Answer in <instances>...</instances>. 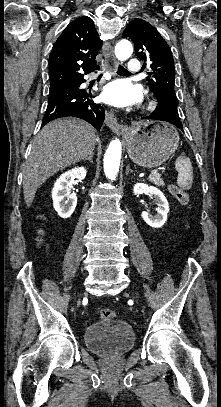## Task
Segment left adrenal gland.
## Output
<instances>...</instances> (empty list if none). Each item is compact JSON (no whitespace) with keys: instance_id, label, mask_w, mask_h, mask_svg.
I'll return each mask as SVG.
<instances>
[{"instance_id":"left-adrenal-gland-1","label":"left adrenal gland","mask_w":221,"mask_h":407,"mask_svg":"<svg viewBox=\"0 0 221 407\" xmlns=\"http://www.w3.org/2000/svg\"><path fill=\"white\" fill-rule=\"evenodd\" d=\"M129 173H133V170L130 169V165H127L125 172L126 176H128Z\"/></svg>"}]
</instances>
